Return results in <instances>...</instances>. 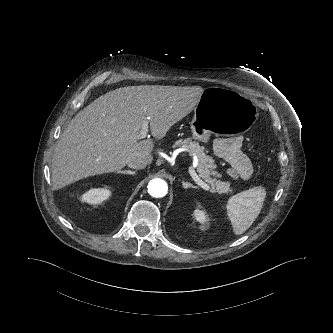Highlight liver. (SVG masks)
Here are the masks:
<instances>
[{
  "label": "liver",
  "mask_w": 333,
  "mask_h": 333,
  "mask_svg": "<svg viewBox=\"0 0 333 333\" xmlns=\"http://www.w3.org/2000/svg\"><path fill=\"white\" fill-rule=\"evenodd\" d=\"M200 86H128L112 90L81 110L68 124L52 159L53 188L81 179L118 172L129 161H153L154 142L139 141L147 117L155 139L187 116L198 104Z\"/></svg>",
  "instance_id": "obj_1"
}]
</instances>
